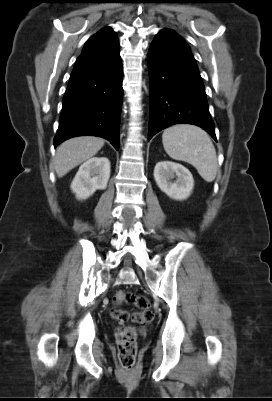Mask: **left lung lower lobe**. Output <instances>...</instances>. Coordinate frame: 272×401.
I'll return each instance as SVG.
<instances>
[{"mask_svg": "<svg viewBox=\"0 0 272 401\" xmlns=\"http://www.w3.org/2000/svg\"><path fill=\"white\" fill-rule=\"evenodd\" d=\"M148 69V139L168 126L187 123L203 128L217 141L198 67L177 33L163 29L156 35L148 52Z\"/></svg>", "mask_w": 272, "mask_h": 401, "instance_id": "0a47b994", "label": "left lung lower lobe"}]
</instances>
